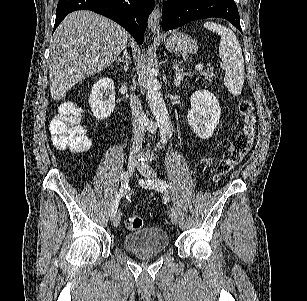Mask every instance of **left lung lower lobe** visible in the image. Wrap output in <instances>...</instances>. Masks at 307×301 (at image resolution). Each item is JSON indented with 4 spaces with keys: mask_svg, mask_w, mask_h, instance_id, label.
Segmentation results:
<instances>
[{
    "mask_svg": "<svg viewBox=\"0 0 307 301\" xmlns=\"http://www.w3.org/2000/svg\"><path fill=\"white\" fill-rule=\"evenodd\" d=\"M218 17L241 30L240 17L233 0H169L163 4L162 28L167 31L190 21Z\"/></svg>",
    "mask_w": 307,
    "mask_h": 301,
    "instance_id": "obj_1",
    "label": "left lung lower lobe"
}]
</instances>
